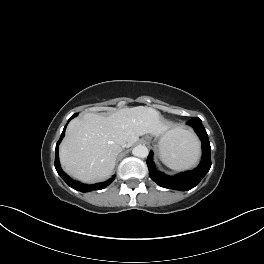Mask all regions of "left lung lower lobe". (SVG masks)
I'll return each mask as SVG.
<instances>
[{
  "mask_svg": "<svg viewBox=\"0 0 264 264\" xmlns=\"http://www.w3.org/2000/svg\"><path fill=\"white\" fill-rule=\"evenodd\" d=\"M187 124L194 128L201 139L203 149L202 161L200 165L192 171L183 172L175 176H168L156 169L152 161L153 153L150 151L147 158L149 176L161 187L180 191L190 190L202 180L211 167L210 142L201 120L198 117H193Z\"/></svg>",
  "mask_w": 264,
  "mask_h": 264,
  "instance_id": "left-lung-lower-lobe-1",
  "label": "left lung lower lobe"
}]
</instances>
